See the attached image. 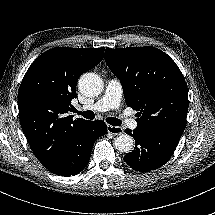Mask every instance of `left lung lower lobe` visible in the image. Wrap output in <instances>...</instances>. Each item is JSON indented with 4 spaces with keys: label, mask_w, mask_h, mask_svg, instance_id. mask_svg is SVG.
<instances>
[{
    "label": "left lung lower lobe",
    "mask_w": 215,
    "mask_h": 215,
    "mask_svg": "<svg viewBox=\"0 0 215 215\" xmlns=\"http://www.w3.org/2000/svg\"><path fill=\"white\" fill-rule=\"evenodd\" d=\"M125 133L135 139V148L124 156L134 170L150 172L163 166L174 153L183 132L166 129L136 128Z\"/></svg>",
    "instance_id": "0a47b994"
}]
</instances>
